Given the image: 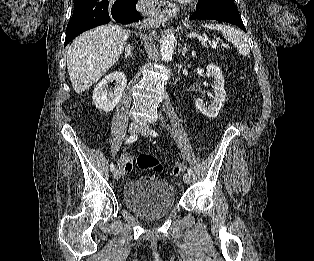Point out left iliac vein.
<instances>
[{
  "label": "left iliac vein",
  "instance_id": "1",
  "mask_svg": "<svg viewBox=\"0 0 314 261\" xmlns=\"http://www.w3.org/2000/svg\"><path fill=\"white\" fill-rule=\"evenodd\" d=\"M138 131L143 136H148L149 134V128L147 125H141ZM183 181L186 185H189L191 183V176L188 173H185L183 175Z\"/></svg>",
  "mask_w": 314,
  "mask_h": 261
}]
</instances>
